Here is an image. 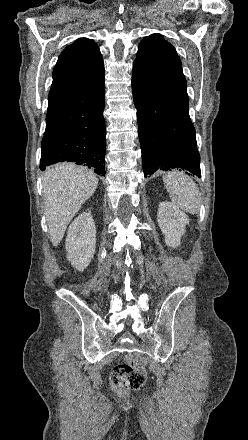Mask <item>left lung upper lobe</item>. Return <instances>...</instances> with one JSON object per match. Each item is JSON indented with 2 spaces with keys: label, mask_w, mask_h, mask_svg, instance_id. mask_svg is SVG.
Returning <instances> with one entry per match:
<instances>
[{
  "label": "left lung upper lobe",
  "mask_w": 248,
  "mask_h": 440,
  "mask_svg": "<svg viewBox=\"0 0 248 440\" xmlns=\"http://www.w3.org/2000/svg\"><path fill=\"white\" fill-rule=\"evenodd\" d=\"M133 73L147 85L188 106L187 83L180 58L161 34H152L140 42Z\"/></svg>",
  "instance_id": "left-lung-upper-lobe-1"
}]
</instances>
